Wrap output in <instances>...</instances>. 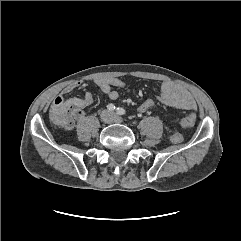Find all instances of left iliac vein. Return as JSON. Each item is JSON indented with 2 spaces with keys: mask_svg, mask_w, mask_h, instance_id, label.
I'll return each instance as SVG.
<instances>
[{
  "mask_svg": "<svg viewBox=\"0 0 241 241\" xmlns=\"http://www.w3.org/2000/svg\"><path fill=\"white\" fill-rule=\"evenodd\" d=\"M114 122L116 123H122L123 122V119L120 117V116H114Z\"/></svg>",
  "mask_w": 241,
  "mask_h": 241,
  "instance_id": "1",
  "label": "left iliac vein"
}]
</instances>
